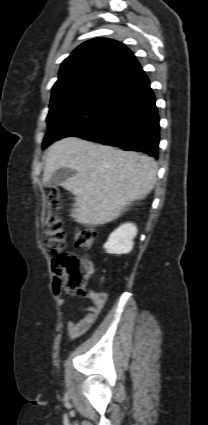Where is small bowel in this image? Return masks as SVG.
I'll return each mask as SVG.
<instances>
[{
    "instance_id": "1",
    "label": "small bowel",
    "mask_w": 208,
    "mask_h": 425,
    "mask_svg": "<svg viewBox=\"0 0 208 425\" xmlns=\"http://www.w3.org/2000/svg\"><path fill=\"white\" fill-rule=\"evenodd\" d=\"M54 291L56 294L57 304L62 307L65 304V299L59 291V280L57 278L54 280ZM86 297L92 301L93 306L86 309L87 312L83 318L79 320H70L66 324L69 337L72 339L82 336L93 326L98 315L105 306L108 294L105 292L88 290ZM61 316H64V312L62 310Z\"/></svg>"
}]
</instances>
